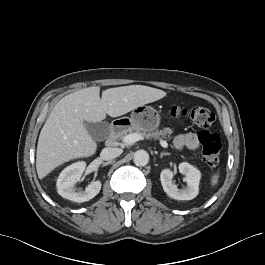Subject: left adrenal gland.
I'll use <instances>...</instances> for the list:
<instances>
[{
	"instance_id": "left-adrenal-gland-1",
	"label": "left adrenal gland",
	"mask_w": 265,
	"mask_h": 265,
	"mask_svg": "<svg viewBox=\"0 0 265 265\" xmlns=\"http://www.w3.org/2000/svg\"><path fill=\"white\" fill-rule=\"evenodd\" d=\"M170 155V153H161L160 157L162 158L163 156Z\"/></svg>"
}]
</instances>
